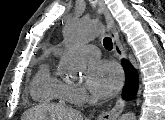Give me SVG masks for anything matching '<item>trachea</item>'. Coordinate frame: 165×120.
Here are the masks:
<instances>
[{"label":"trachea","mask_w":165,"mask_h":120,"mask_svg":"<svg viewBox=\"0 0 165 120\" xmlns=\"http://www.w3.org/2000/svg\"><path fill=\"white\" fill-rule=\"evenodd\" d=\"M103 45H104L105 49H107L109 51L112 50V48H113L112 39L109 37H105L103 40Z\"/></svg>","instance_id":"1"}]
</instances>
